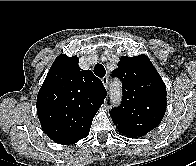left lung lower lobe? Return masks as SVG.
<instances>
[{
  "mask_svg": "<svg viewBox=\"0 0 196 166\" xmlns=\"http://www.w3.org/2000/svg\"><path fill=\"white\" fill-rule=\"evenodd\" d=\"M120 132V131H119ZM120 133H122V132H120ZM122 134H124V133H122ZM124 135H126V134H124ZM127 137H129V138H134V137H131V136H129V135H127Z\"/></svg>",
  "mask_w": 196,
  "mask_h": 166,
  "instance_id": "1",
  "label": "left lung lower lobe"
}]
</instances>
